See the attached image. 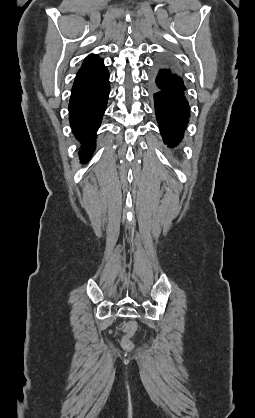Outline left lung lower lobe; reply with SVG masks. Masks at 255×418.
Segmentation results:
<instances>
[{"instance_id":"0a47b994","label":"left lung lower lobe","mask_w":255,"mask_h":418,"mask_svg":"<svg viewBox=\"0 0 255 418\" xmlns=\"http://www.w3.org/2000/svg\"><path fill=\"white\" fill-rule=\"evenodd\" d=\"M154 103L164 142L176 146L183 138L190 117L186 86L177 64L169 57L161 58L154 73Z\"/></svg>"}]
</instances>
